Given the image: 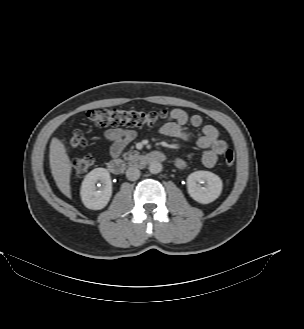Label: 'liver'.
<instances>
[{
    "label": "liver",
    "instance_id": "liver-1",
    "mask_svg": "<svg viewBox=\"0 0 304 329\" xmlns=\"http://www.w3.org/2000/svg\"><path fill=\"white\" fill-rule=\"evenodd\" d=\"M49 163L52 176L59 190L71 198L70 176L72 165L65 145L58 138H53L50 143Z\"/></svg>",
    "mask_w": 304,
    "mask_h": 329
}]
</instances>
